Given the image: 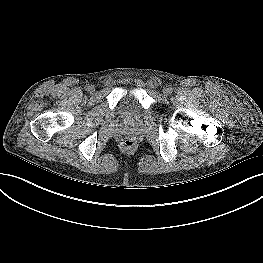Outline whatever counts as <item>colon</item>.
Wrapping results in <instances>:
<instances>
[{
  "instance_id": "obj_1",
  "label": "colon",
  "mask_w": 263,
  "mask_h": 263,
  "mask_svg": "<svg viewBox=\"0 0 263 263\" xmlns=\"http://www.w3.org/2000/svg\"><path fill=\"white\" fill-rule=\"evenodd\" d=\"M134 143H133V141H131V140H125V141H123V146H125V147H130V146H132Z\"/></svg>"
}]
</instances>
